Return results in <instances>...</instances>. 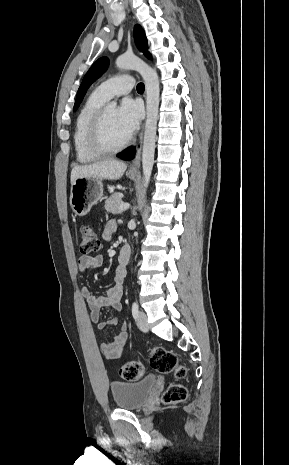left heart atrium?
<instances>
[{"instance_id": "left-heart-atrium-1", "label": "left heart atrium", "mask_w": 289, "mask_h": 465, "mask_svg": "<svg viewBox=\"0 0 289 465\" xmlns=\"http://www.w3.org/2000/svg\"><path fill=\"white\" fill-rule=\"evenodd\" d=\"M143 109L141 104L131 98H126L117 109V118L120 128L130 138L139 128Z\"/></svg>"}]
</instances>
